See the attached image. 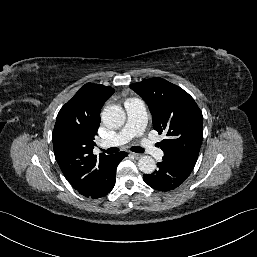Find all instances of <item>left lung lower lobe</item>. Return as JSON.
Masks as SVG:
<instances>
[{
    "instance_id": "1",
    "label": "left lung lower lobe",
    "mask_w": 257,
    "mask_h": 257,
    "mask_svg": "<svg viewBox=\"0 0 257 257\" xmlns=\"http://www.w3.org/2000/svg\"><path fill=\"white\" fill-rule=\"evenodd\" d=\"M158 169L152 174H144L143 179L150 187L159 191H169L182 184L192 171L182 168L174 162L162 159Z\"/></svg>"
}]
</instances>
